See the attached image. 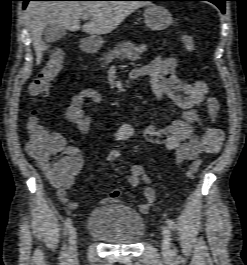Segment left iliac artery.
I'll list each match as a JSON object with an SVG mask.
<instances>
[{"label":"left iliac artery","mask_w":247,"mask_h":265,"mask_svg":"<svg viewBox=\"0 0 247 265\" xmlns=\"http://www.w3.org/2000/svg\"><path fill=\"white\" fill-rule=\"evenodd\" d=\"M166 223H167L168 227H169L171 230H176V224H175V222H174L173 220H171V219H166ZM172 253H173V255H176V253H177L176 248H174V249L172 250Z\"/></svg>","instance_id":"1"}]
</instances>
